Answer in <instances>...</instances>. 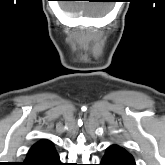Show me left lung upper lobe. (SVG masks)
Instances as JSON below:
<instances>
[{
  "label": "left lung upper lobe",
  "mask_w": 165,
  "mask_h": 165,
  "mask_svg": "<svg viewBox=\"0 0 165 165\" xmlns=\"http://www.w3.org/2000/svg\"><path fill=\"white\" fill-rule=\"evenodd\" d=\"M113 146H116V147H119V146H117V145H113ZM128 153V152H127ZM129 154V153H128ZM129 156H131L130 154H129ZM132 157V156H131Z\"/></svg>",
  "instance_id": "1"
}]
</instances>
